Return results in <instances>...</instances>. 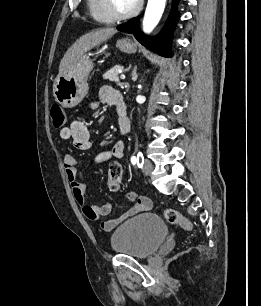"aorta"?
Listing matches in <instances>:
<instances>
[{
	"label": "aorta",
	"mask_w": 261,
	"mask_h": 306,
	"mask_svg": "<svg viewBox=\"0 0 261 306\" xmlns=\"http://www.w3.org/2000/svg\"><path fill=\"white\" fill-rule=\"evenodd\" d=\"M166 0H148L144 19L143 30L150 33L159 23L164 12Z\"/></svg>",
	"instance_id": "762f6f07"
}]
</instances>
